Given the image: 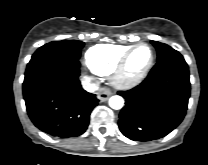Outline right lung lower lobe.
<instances>
[{
    "mask_svg": "<svg viewBox=\"0 0 208 165\" xmlns=\"http://www.w3.org/2000/svg\"><path fill=\"white\" fill-rule=\"evenodd\" d=\"M79 67V60L64 52L28 63L23 97L31 121L40 130L67 138L87 129L99 100L81 87Z\"/></svg>",
    "mask_w": 208,
    "mask_h": 165,
    "instance_id": "right-lung-lower-lobe-1",
    "label": "right lung lower lobe"
}]
</instances>
